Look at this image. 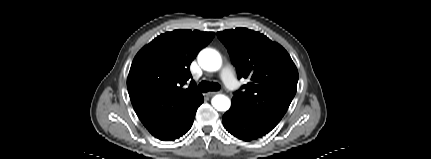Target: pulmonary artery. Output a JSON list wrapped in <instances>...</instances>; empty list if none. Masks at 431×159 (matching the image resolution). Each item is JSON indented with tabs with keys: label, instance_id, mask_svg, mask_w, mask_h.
Masks as SVG:
<instances>
[{
	"label": "pulmonary artery",
	"instance_id": "1",
	"mask_svg": "<svg viewBox=\"0 0 431 159\" xmlns=\"http://www.w3.org/2000/svg\"><path fill=\"white\" fill-rule=\"evenodd\" d=\"M220 78L228 89L235 91L239 88V82L232 66L225 65L220 72Z\"/></svg>",
	"mask_w": 431,
	"mask_h": 159
}]
</instances>
